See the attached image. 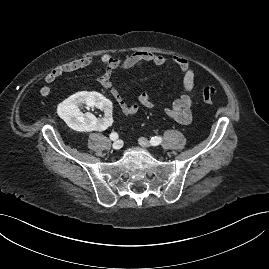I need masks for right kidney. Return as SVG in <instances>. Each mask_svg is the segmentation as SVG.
I'll list each match as a JSON object with an SVG mask.
<instances>
[{
  "mask_svg": "<svg viewBox=\"0 0 269 269\" xmlns=\"http://www.w3.org/2000/svg\"><path fill=\"white\" fill-rule=\"evenodd\" d=\"M86 104L87 107L104 109L102 117H96L87 112L83 114L79 107ZM58 114L69 127L78 131H93L99 133L108 129L113 124L112 103L109 99L96 92H79L72 95L58 106Z\"/></svg>",
  "mask_w": 269,
  "mask_h": 269,
  "instance_id": "right-kidney-1",
  "label": "right kidney"
}]
</instances>
